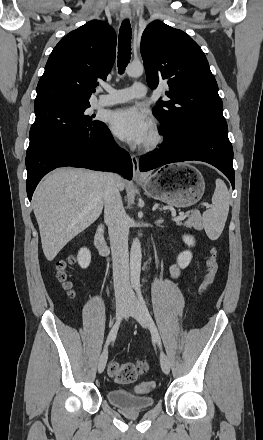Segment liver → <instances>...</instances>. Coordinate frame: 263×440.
<instances>
[{
	"label": "liver",
	"instance_id": "6515ba94",
	"mask_svg": "<svg viewBox=\"0 0 263 440\" xmlns=\"http://www.w3.org/2000/svg\"><path fill=\"white\" fill-rule=\"evenodd\" d=\"M117 186L123 190L125 181ZM107 187V173L75 168L57 169L38 185L33 209L48 261L98 219Z\"/></svg>",
	"mask_w": 263,
	"mask_h": 440
}]
</instances>
